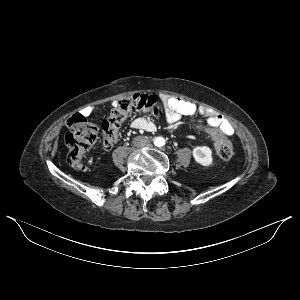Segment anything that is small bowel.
I'll return each instance as SVG.
<instances>
[{"instance_id":"small-bowel-1","label":"small bowel","mask_w":300,"mask_h":300,"mask_svg":"<svg viewBox=\"0 0 300 300\" xmlns=\"http://www.w3.org/2000/svg\"><path fill=\"white\" fill-rule=\"evenodd\" d=\"M162 101L166 108V120L168 123L178 121L183 115L199 114L207 119V124L211 128H217L223 136H231L234 134L232 124L219 113L206 106H199L179 97L163 95ZM95 112L93 107H86L79 114L83 117H89ZM132 127L145 130L148 132L155 131V124L143 117H139L132 122Z\"/></svg>"}]
</instances>
